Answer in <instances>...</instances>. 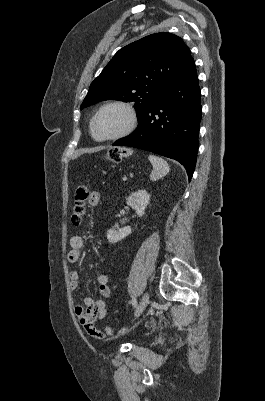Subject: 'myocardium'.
<instances>
[{
	"label": "myocardium",
	"mask_w": 265,
	"mask_h": 401,
	"mask_svg": "<svg viewBox=\"0 0 265 401\" xmlns=\"http://www.w3.org/2000/svg\"><path fill=\"white\" fill-rule=\"evenodd\" d=\"M110 108H119L121 110H123L126 113V121L124 126L122 127V129L116 133L113 136L110 137H104V138H99L96 137L94 134V124L95 121L97 120V118L99 117V115L104 112L107 109ZM136 123V112L134 110V108L126 102H122V101H112L109 103L104 104L103 106H101L96 112L95 114L92 116L90 123H89V133L90 136L98 142H107V141H113L116 140L122 136H124L126 133H128L135 125Z\"/></svg>",
	"instance_id": "myocardium-1"
}]
</instances>
